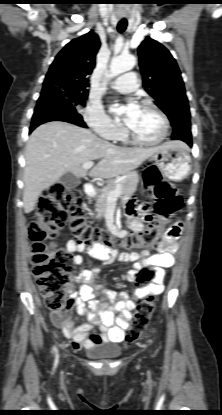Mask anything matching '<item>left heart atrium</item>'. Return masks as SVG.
<instances>
[{
    "label": "left heart atrium",
    "instance_id": "obj_1",
    "mask_svg": "<svg viewBox=\"0 0 222 415\" xmlns=\"http://www.w3.org/2000/svg\"><path fill=\"white\" fill-rule=\"evenodd\" d=\"M114 111L122 110L124 112V116L127 119L132 118L139 110V106L132 100H129L124 105L116 104L113 106Z\"/></svg>",
    "mask_w": 222,
    "mask_h": 415
}]
</instances>
